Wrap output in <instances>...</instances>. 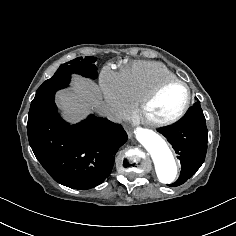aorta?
Returning a JSON list of instances; mask_svg holds the SVG:
<instances>
[{"label":"aorta","instance_id":"762f6f07","mask_svg":"<svg viewBox=\"0 0 236 236\" xmlns=\"http://www.w3.org/2000/svg\"><path fill=\"white\" fill-rule=\"evenodd\" d=\"M135 134L137 140L150 153L159 181L163 184L172 183L177 176V166L165 140L149 129L137 128Z\"/></svg>","mask_w":236,"mask_h":236}]
</instances>
